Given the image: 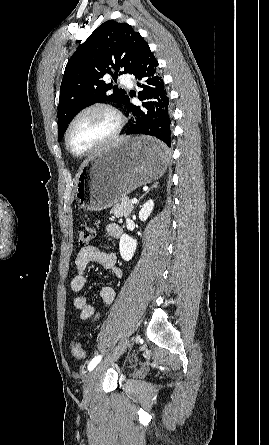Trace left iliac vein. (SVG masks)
Masks as SVG:
<instances>
[{"instance_id": "obj_1", "label": "left iliac vein", "mask_w": 269, "mask_h": 445, "mask_svg": "<svg viewBox=\"0 0 269 445\" xmlns=\"http://www.w3.org/2000/svg\"><path fill=\"white\" fill-rule=\"evenodd\" d=\"M128 343H129L128 339L122 340L121 343L113 351V353L108 358H106L104 361L99 363L91 371V373L87 376V378L85 380V383H84V397L86 399H90L91 398V396L93 394L95 382L99 378V376L101 375L103 370L105 368H107L110 364L115 362L122 355V353L127 348Z\"/></svg>"}]
</instances>
